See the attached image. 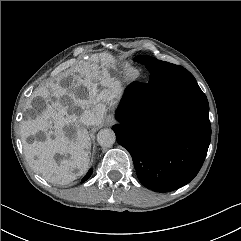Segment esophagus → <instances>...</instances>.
Segmentation results:
<instances>
[{
    "label": "esophagus",
    "instance_id": "obj_1",
    "mask_svg": "<svg viewBox=\"0 0 241 241\" xmlns=\"http://www.w3.org/2000/svg\"><path fill=\"white\" fill-rule=\"evenodd\" d=\"M115 122L116 121H115V118L113 116L109 115V116L106 117L105 123L107 125H113Z\"/></svg>",
    "mask_w": 241,
    "mask_h": 241
}]
</instances>
